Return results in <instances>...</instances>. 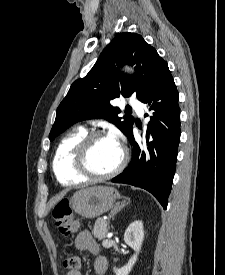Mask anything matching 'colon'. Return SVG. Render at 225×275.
<instances>
[{
	"label": "colon",
	"mask_w": 225,
	"mask_h": 275,
	"mask_svg": "<svg viewBox=\"0 0 225 275\" xmlns=\"http://www.w3.org/2000/svg\"><path fill=\"white\" fill-rule=\"evenodd\" d=\"M55 225L64 236L73 235L78 229V223L72 218L69 201H59L52 210ZM63 267L68 271H79L80 259L77 256H69L63 261Z\"/></svg>",
	"instance_id": "5ec220e1"
}]
</instances>
